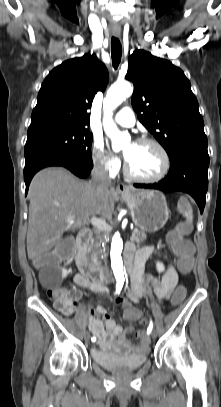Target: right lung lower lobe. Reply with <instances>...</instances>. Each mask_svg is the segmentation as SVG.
I'll use <instances>...</instances> for the list:
<instances>
[{
  "label": "right lung lower lobe",
  "instance_id": "1",
  "mask_svg": "<svg viewBox=\"0 0 221 407\" xmlns=\"http://www.w3.org/2000/svg\"><path fill=\"white\" fill-rule=\"evenodd\" d=\"M49 166H63L69 169L78 177L85 178L90 174L93 166H85L72 158L57 151H39L25 158L24 180L26 184V194L32 177L40 169Z\"/></svg>",
  "mask_w": 221,
  "mask_h": 407
}]
</instances>
